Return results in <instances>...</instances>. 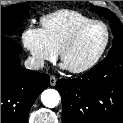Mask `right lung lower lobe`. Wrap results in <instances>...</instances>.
Segmentation results:
<instances>
[{
	"instance_id": "98d812e1",
	"label": "right lung lower lobe",
	"mask_w": 123,
	"mask_h": 123,
	"mask_svg": "<svg viewBox=\"0 0 123 123\" xmlns=\"http://www.w3.org/2000/svg\"><path fill=\"white\" fill-rule=\"evenodd\" d=\"M22 48L1 35V123H27L39 94L49 86V76L20 65Z\"/></svg>"
}]
</instances>
